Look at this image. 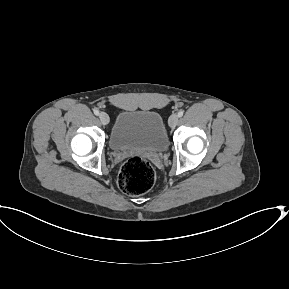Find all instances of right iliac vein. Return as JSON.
<instances>
[{
	"mask_svg": "<svg viewBox=\"0 0 289 289\" xmlns=\"http://www.w3.org/2000/svg\"><path fill=\"white\" fill-rule=\"evenodd\" d=\"M99 119L103 125H107L109 123V120H110L108 114L105 112H101L99 114Z\"/></svg>",
	"mask_w": 289,
	"mask_h": 289,
	"instance_id": "63e3f726",
	"label": "right iliac vein"
}]
</instances>
